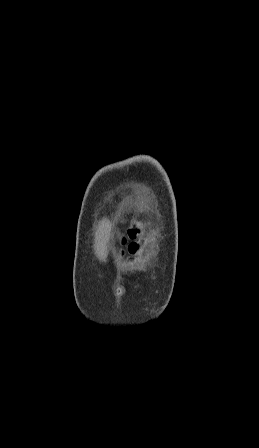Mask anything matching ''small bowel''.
Returning <instances> with one entry per match:
<instances>
[{"label": "small bowel", "mask_w": 259, "mask_h": 448, "mask_svg": "<svg viewBox=\"0 0 259 448\" xmlns=\"http://www.w3.org/2000/svg\"><path fill=\"white\" fill-rule=\"evenodd\" d=\"M138 235H139L138 227H132L130 231L127 232L125 235H121L120 237L121 255H123L124 252H127L131 260L136 254H138V252L143 247V243L141 241H137Z\"/></svg>", "instance_id": "1"}]
</instances>
